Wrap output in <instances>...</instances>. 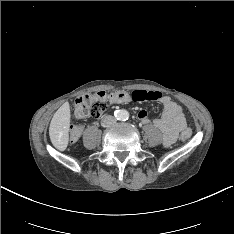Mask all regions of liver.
Masks as SVG:
<instances>
[{"instance_id": "obj_1", "label": "liver", "mask_w": 234, "mask_h": 234, "mask_svg": "<svg viewBox=\"0 0 234 234\" xmlns=\"http://www.w3.org/2000/svg\"><path fill=\"white\" fill-rule=\"evenodd\" d=\"M70 106L65 102L53 115L49 127V136L53 146L59 151L67 148L70 127Z\"/></svg>"}]
</instances>
